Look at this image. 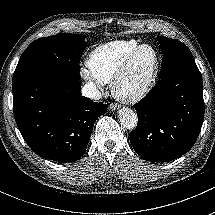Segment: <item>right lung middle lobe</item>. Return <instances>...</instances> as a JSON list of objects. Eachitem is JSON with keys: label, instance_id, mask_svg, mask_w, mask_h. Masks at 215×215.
Wrapping results in <instances>:
<instances>
[{"label": "right lung middle lobe", "instance_id": "right-lung-middle-lobe-1", "mask_svg": "<svg viewBox=\"0 0 215 215\" xmlns=\"http://www.w3.org/2000/svg\"><path fill=\"white\" fill-rule=\"evenodd\" d=\"M86 47L82 34H57L32 42L20 57L12 87L37 76H58L80 80L79 61Z\"/></svg>", "mask_w": 215, "mask_h": 215}]
</instances>
